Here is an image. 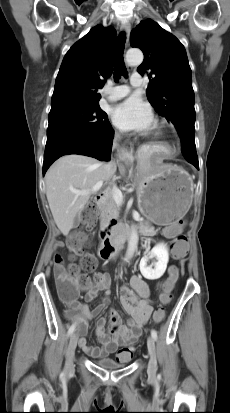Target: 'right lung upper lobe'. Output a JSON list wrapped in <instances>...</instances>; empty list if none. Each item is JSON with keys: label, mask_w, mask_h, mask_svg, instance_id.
<instances>
[{"label": "right lung upper lobe", "mask_w": 230, "mask_h": 413, "mask_svg": "<svg viewBox=\"0 0 230 413\" xmlns=\"http://www.w3.org/2000/svg\"><path fill=\"white\" fill-rule=\"evenodd\" d=\"M113 27L95 26L66 53L56 78L51 110L64 106L99 105L104 80L112 74Z\"/></svg>", "instance_id": "right-lung-upper-lobe-1"}]
</instances>
